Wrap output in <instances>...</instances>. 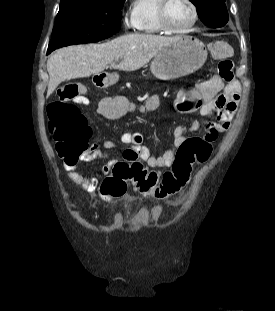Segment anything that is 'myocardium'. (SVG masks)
Instances as JSON below:
<instances>
[{
  "label": "myocardium",
  "instance_id": "obj_1",
  "mask_svg": "<svg viewBox=\"0 0 275 311\" xmlns=\"http://www.w3.org/2000/svg\"><path fill=\"white\" fill-rule=\"evenodd\" d=\"M186 1L188 2V4L190 5L192 9V13H193L192 20L185 27L180 28V29H174L170 26L168 19H167V10H168V6L171 0H159L157 17H158L160 28L163 31L170 33V34H184L194 27L199 17L198 8L193 0H186Z\"/></svg>",
  "mask_w": 275,
  "mask_h": 311
}]
</instances>
